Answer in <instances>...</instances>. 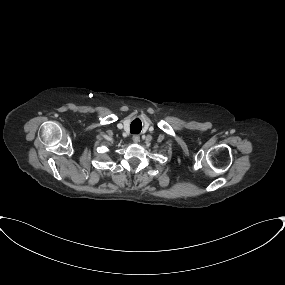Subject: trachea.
Masks as SVG:
<instances>
[{"mask_svg": "<svg viewBox=\"0 0 285 285\" xmlns=\"http://www.w3.org/2000/svg\"><path fill=\"white\" fill-rule=\"evenodd\" d=\"M142 129V123L139 118H136L130 126V132L132 134H139Z\"/></svg>", "mask_w": 285, "mask_h": 285, "instance_id": "3493384b", "label": "trachea"}]
</instances>
